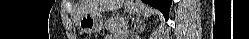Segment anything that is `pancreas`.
<instances>
[{"label": "pancreas", "instance_id": "obj_1", "mask_svg": "<svg viewBox=\"0 0 249 39\" xmlns=\"http://www.w3.org/2000/svg\"><path fill=\"white\" fill-rule=\"evenodd\" d=\"M104 27L112 34L123 38L127 35L128 25L123 17H111L104 23Z\"/></svg>", "mask_w": 249, "mask_h": 39}]
</instances>
